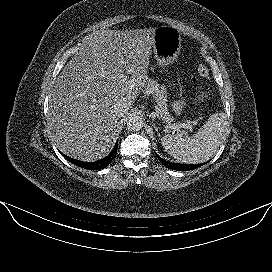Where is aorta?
<instances>
[{"label": "aorta", "mask_w": 272, "mask_h": 272, "mask_svg": "<svg viewBox=\"0 0 272 272\" xmlns=\"http://www.w3.org/2000/svg\"><path fill=\"white\" fill-rule=\"evenodd\" d=\"M143 127V120L139 116H131L127 122V128L130 131H139Z\"/></svg>", "instance_id": "obj_1"}]
</instances>
